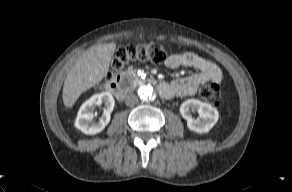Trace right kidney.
Wrapping results in <instances>:
<instances>
[{"label": "right kidney", "instance_id": "1", "mask_svg": "<svg viewBox=\"0 0 292 192\" xmlns=\"http://www.w3.org/2000/svg\"><path fill=\"white\" fill-rule=\"evenodd\" d=\"M102 103L105 104L103 115L98 122H95L93 121L95 116L94 109ZM114 104V98L110 92L93 95L81 105L75 121L76 128L88 135L101 132L110 121V114L113 111Z\"/></svg>", "mask_w": 292, "mask_h": 192}]
</instances>
